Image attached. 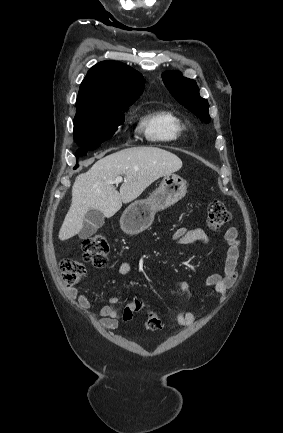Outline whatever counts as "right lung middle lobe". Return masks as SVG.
<instances>
[{"label": "right lung middle lobe", "mask_w": 283, "mask_h": 433, "mask_svg": "<svg viewBox=\"0 0 283 433\" xmlns=\"http://www.w3.org/2000/svg\"><path fill=\"white\" fill-rule=\"evenodd\" d=\"M129 106L103 109H83L74 118V140L81 148L76 158L85 156L88 150H94L109 139L124 121L123 111Z\"/></svg>", "instance_id": "obj_1"}]
</instances>
